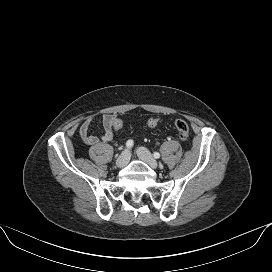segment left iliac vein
Returning a JSON list of instances; mask_svg holds the SVG:
<instances>
[{
    "mask_svg": "<svg viewBox=\"0 0 272 272\" xmlns=\"http://www.w3.org/2000/svg\"><path fill=\"white\" fill-rule=\"evenodd\" d=\"M138 157L147 163L152 169H156L158 167L157 161L154 159L152 154L144 147H139L137 149Z\"/></svg>",
    "mask_w": 272,
    "mask_h": 272,
    "instance_id": "left-iliac-vein-1",
    "label": "left iliac vein"
}]
</instances>
